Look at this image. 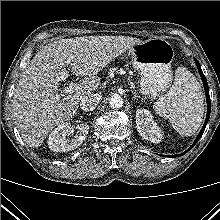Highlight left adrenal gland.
I'll return each mask as SVG.
<instances>
[{"instance_id":"a2214340","label":"left adrenal gland","mask_w":220,"mask_h":220,"mask_svg":"<svg viewBox=\"0 0 220 220\" xmlns=\"http://www.w3.org/2000/svg\"><path fill=\"white\" fill-rule=\"evenodd\" d=\"M132 93H133V95H134V99L140 98V96L137 95L135 92H132Z\"/></svg>"}]
</instances>
